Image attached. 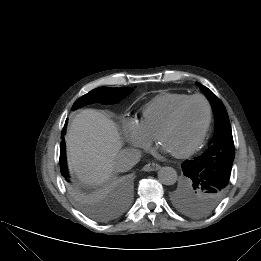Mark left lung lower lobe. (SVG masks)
<instances>
[{
	"label": "left lung lower lobe",
	"mask_w": 261,
	"mask_h": 261,
	"mask_svg": "<svg viewBox=\"0 0 261 261\" xmlns=\"http://www.w3.org/2000/svg\"><path fill=\"white\" fill-rule=\"evenodd\" d=\"M182 169H183V174L191 179L197 178L202 173L198 165L195 162H192V160L185 161L182 164Z\"/></svg>",
	"instance_id": "obj_1"
}]
</instances>
